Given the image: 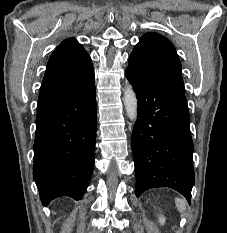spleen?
<instances>
[{
	"label": "spleen",
	"mask_w": 227,
	"mask_h": 233,
	"mask_svg": "<svg viewBox=\"0 0 227 233\" xmlns=\"http://www.w3.org/2000/svg\"><path fill=\"white\" fill-rule=\"evenodd\" d=\"M175 203L177 206V209L179 210L180 213H183L186 209V201L181 198H176Z\"/></svg>",
	"instance_id": "obj_1"
}]
</instances>
